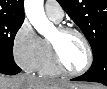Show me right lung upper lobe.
<instances>
[{"label":"right lung upper lobe","mask_w":107,"mask_h":89,"mask_svg":"<svg viewBox=\"0 0 107 89\" xmlns=\"http://www.w3.org/2000/svg\"><path fill=\"white\" fill-rule=\"evenodd\" d=\"M0 16L24 19L23 0H0Z\"/></svg>","instance_id":"1"}]
</instances>
